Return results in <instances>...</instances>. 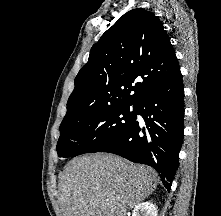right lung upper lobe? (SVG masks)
<instances>
[{"instance_id": "cb5924a9", "label": "right lung upper lobe", "mask_w": 221, "mask_h": 216, "mask_svg": "<svg viewBox=\"0 0 221 216\" xmlns=\"http://www.w3.org/2000/svg\"><path fill=\"white\" fill-rule=\"evenodd\" d=\"M178 71L173 46L158 17L133 9L93 45L75 78L62 122H75L111 106L137 105Z\"/></svg>"}]
</instances>
